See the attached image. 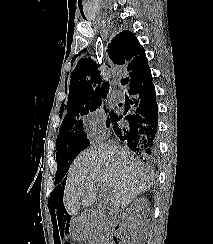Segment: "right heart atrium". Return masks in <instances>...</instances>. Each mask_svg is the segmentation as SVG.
I'll list each match as a JSON object with an SVG mask.
<instances>
[{"mask_svg": "<svg viewBox=\"0 0 213 244\" xmlns=\"http://www.w3.org/2000/svg\"><path fill=\"white\" fill-rule=\"evenodd\" d=\"M85 131L92 139H100L106 135V129L103 124V114L95 109L83 117Z\"/></svg>", "mask_w": 213, "mask_h": 244, "instance_id": "obj_1", "label": "right heart atrium"}]
</instances>
